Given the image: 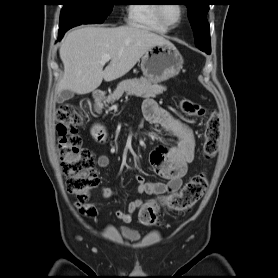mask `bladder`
I'll list each match as a JSON object with an SVG mask.
<instances>
[{
    "label": "bladder",
    "instance_id": "bladder-1",
    "mask_svg": "<svg viewBox=\"0 0 278 278\" xmlns=\"http://www.w3.org/2000/svg\"><path fill=\"white\" fill-rule=\"evenodd\" d=\"M123 234L127 239H130V240H135L137 238L135 235L128 233V232H124Z\"/></svg>",
    "mask_w": 278,
    "mask_h": 278
}]
</instances>
